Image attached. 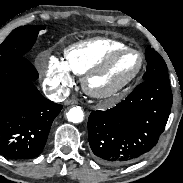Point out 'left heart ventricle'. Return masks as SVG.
<instances>
[{
	"mask_svg": "<svg viewBox=\"0 0 183 183\" xmlns=\"http://www.w3.org/2000/svg\"><path fill=\"white\" fill-rule=\"evenodd\" d=\"M139 64L140 58L136 53H124L106 72L93 79L92 85L98 90H107L121 85L137 71Z\"/></svg>",
	"mask_w": 183,
	"mask_h": 183,
	"instance_id": "b2bd125f",
	"label": "left heart ventricle"
}]
</instances>
